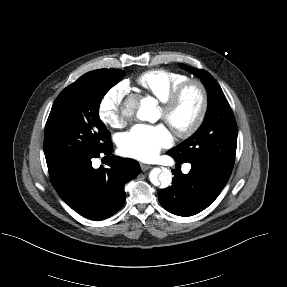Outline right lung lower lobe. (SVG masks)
I'll use <instances>...</instances> for the list:
<instances>
[{
	"label": "right lung lower lobe",
	"mask_w": 287,
	"mask_h": 287,
	"mask_svg": "<svg viewBox=\"0 0 287 287\" xmlns=\"http://www.w3.org/2000/svg\"><path fill=\"white\" fill-rule=\"evenodd\" d=\"M111 141L100 151L68 159L48 167L51 182L60 197L77 213L91 220H103L124 204V185L141 171L136 160L111 155ZM104 154L109 167L94 169L92 159Z\"/></svg>",
	"instance_id": "obj_1"
}]
</instances>
